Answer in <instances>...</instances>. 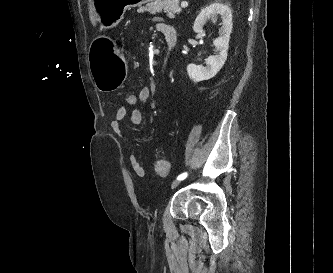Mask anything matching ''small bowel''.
<instances>
[{
    "label": "small bowel",
    "instance_id": "obj_1",
    "mask_svg": "<svg viewBox=\"0 0 333 273\" xmlns=\"http://www.w3.org/2000/svg\"><path fill=\"white\" fill-rule=\"evenodd\" d=\"M166 26L172 27L168 24L159 23L157 24V29L158 31L163 32ZM129 94H134V93H129ZM149 99H150V89L148 87L141 88L138 93V100L136 102L147 103ZM127 117L129 118L130 122L134 125H137L142 121V114L139 110H133L132 112H129L128 109H123L122 107L118 108L111 126L114 133L124 142H127V139L122 132V122ZM128 159H129V164L132 170L134 171L135 175L139 178H143L145 176V169L138 161L136 155L132 153L129 155Z\"/></svg>",
    "mask_w": 333,
    "mask_h": 273
}]
</instances>
